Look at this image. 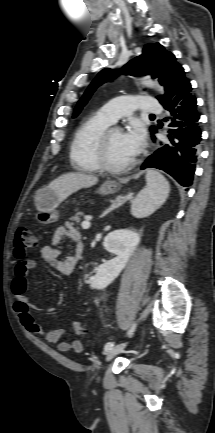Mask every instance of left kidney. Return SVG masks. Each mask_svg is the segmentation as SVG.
<instances>
[{"mask_svg": "<svg viewBox=\"0 0 215 433\" xmlns=\"http://www.w3.org/2000/svg\"><path fill=\"white\" fill-rule=\"evenodd\" d=\"M140 242V235L132 230L119 229L104 239L105 249L116 255L98 266L96 275L89 281L92 289H104L111 284L125 267L129 257Z\"/></svg>", "mask_w": 215, "mask_h": 433, "instance_id": "1", "label": "left kidney"}]
</instances>
